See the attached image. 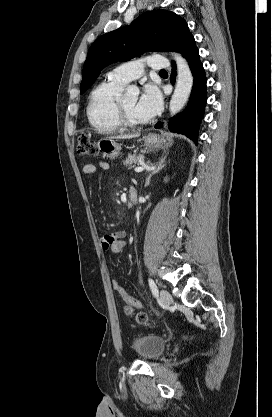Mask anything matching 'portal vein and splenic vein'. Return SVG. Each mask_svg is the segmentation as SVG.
Listing matches in <instances>:
<instances>
[{
    "instance_id": "1",
    "label": "portal vein and splenic vein",
    "mask_w": 272,
    "mask_h": 417,
    "mask_svg": "<svg viewBox=\"0 0 272 417\" xmlns=\"http://www.w3.org/2000/svg\"><path fill=\"white\" fill-rule=\"evenodd\" d=\"M145 169H147V167H136L135 168V172H142V171H144Z\"/></svg>"
}]
</instances>
